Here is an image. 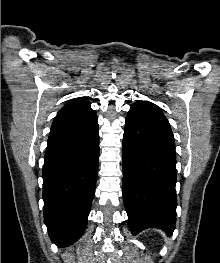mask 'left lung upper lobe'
<instances>
[{
  "label": "left lung upper lobe",
  "instance_id": "1",
  "mask_svg": "<svg viewBox=\"0 0 220 263\" xmlns=\"http://www.w3.org/2000/svg\"><path fill=\"white\" fill-rule=\"evenodd\" d=\"M136 122L173 137L170 124L159 107L149 101H137L131 105L128 116Z\"/></svg>",
  "mask_w": 220,
  "mask_h": 263
}]
</instances>
